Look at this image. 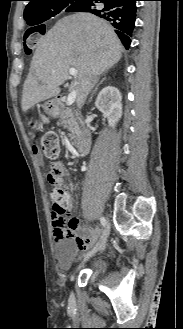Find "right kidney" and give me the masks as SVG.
Instances as JSON below:
<instances>
[{
  "instance_id": "ca27d5eb",
  "label": "right kidney",
  "mask_w": 183,
  "mask_h": 329,
  "mask_svg": "<svg viewBox=\"0 0 183 329\" xmlns=\"http://www.w3.org/2000/svg\"><path fill=\"white\" fill-rule=\"evenodd\" d=\"M121 101L120 91L113 86L104 87L95 101L96 108L108 118L111 127H114L122 116Z\"/></svg>"
}]
</instances>
